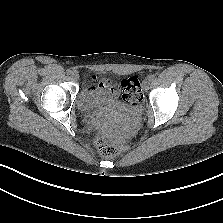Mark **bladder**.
Here are the masks:
<instances>
[{
	"label": "bladder",
	"mask_w": 223,
	"mask_h": 223,
	"mask_svg": "<svg viewBox=\"0 0 223 223\" xmlns=\"http://www.w3.org/2000/svg\"><path fill=\"white\" fill-rule=\"evenodd\" d=\"M77 104L83 110H96L106 107L124 108V104L115 99L114 96L107 94V91L95 88L90 84H86L78 95Z\"/></svg>",
	"instance_id": "bladder-1"
}]
</instances>
